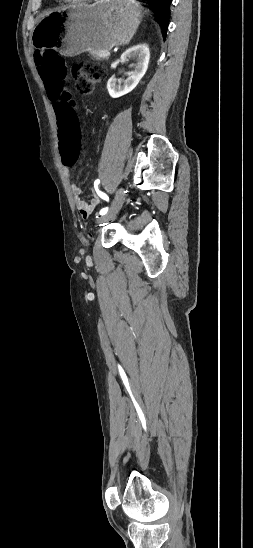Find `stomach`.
Returning <instances> with one entry per match:
<instances>
[{
    "instance_id": "1",
    "label": "stomach",
    "mask_w": 253,
    "mask_h": 548,
    "mask_svg": "<svg viewBox=\"0 0 253 548\" xmlns=\"http://www.w3.org/2000/svg\"><path fill=\"white\" fill-rule=\"evenodd\" d=\"M142 19L135 0H98L53 12L33 31L36 46L58 44L67 56L128 44Z\"/></svg>"
}]
</instances>
